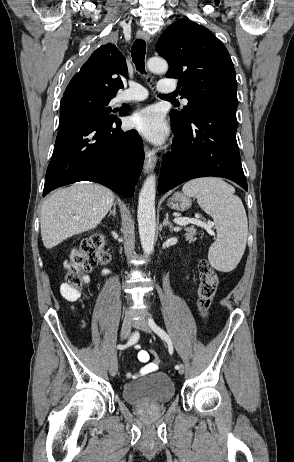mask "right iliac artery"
Masks as SVG:
<instances>
[{
	"label": "right iliac artery",
	"mask_w": 294,
	"mask_h": 462,
	"mask_svg": "<svg viewBox=\"0 0 294 462\" xmlns=\"http://www.w3.org/2000/svg\"><path fill=\"white\" fill-rule=\"evenodd\" d=\"M138 339H139V332L135 331V332L132 334V336L130 337V339H129V341H128L127 344H125V345H118L117 348L120 349V350L125 349V348H127L128 346H130V345L136 343V342L138 341Z\"/></svg>",
	"instance_id": "82829eb1"
}]
</instances>
